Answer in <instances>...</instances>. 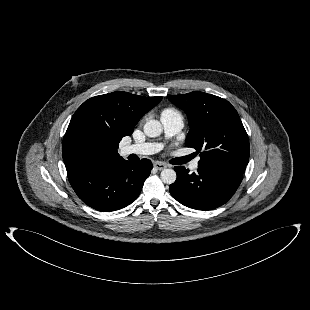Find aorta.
Instances as JSON below:
<instances>
[{"instance_id": "762f6f07", "label": "aorta", "mask_w": 310, "mask_h": 310, "mask_svg": "<svg viewBox=\"0 0 310 310\" xmlns=\"http://www.w3.org/2000/svg\"><path fill=\"white\" fill-rule=\"evenodd\" d=\"M146 136L155 138L161 135L162 125L158 120H149L143 127ZM161 180L165 184H173L176 181L177 175L173 169H164L161 172Z\"/></svg>"}]
</instances>
